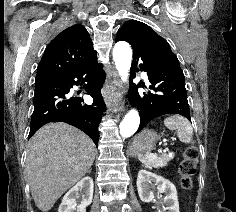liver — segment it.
Returning <instances> with one entry per match:
<instances>
[{"label":"liver","mask_w":236,"mask_h":212,"mask_svg":"<svg viewBox=\"0 0 236 212\" xmlns=\"http://www.w3.org/2000/svg\"><path fill=\"white\" fill-rule=\"evenodd\" d=\"M95 154L93 141L67 123L41 127L29 140L26 160V177L37 208L49 211L85 176Z\"/></svg>","instance_id":"liver-1"}]
</instances>
